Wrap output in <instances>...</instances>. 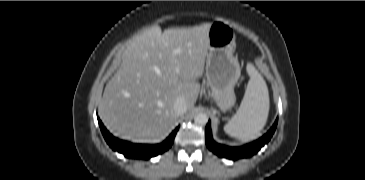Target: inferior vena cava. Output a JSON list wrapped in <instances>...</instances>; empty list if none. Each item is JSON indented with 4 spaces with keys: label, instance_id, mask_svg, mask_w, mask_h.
<instances>
[{
    "label": "inferior vena cava",
    "instance_id": "602c4592",
    "mask_svg": "<svg viewBox=\"0 0 365 180\" xmlns=\"http://www.w3.org/2000/svg\"><path fill=\"white\" fill-rule=\"evenodd\" d=\"M173 108H174V111H175L177 116H180V115L186 113V111H187L186 102L181 97H178L175 100Z\"/></svg>",
    "mask_w": 365,
    "mask_h": 180
}]
</instances>
